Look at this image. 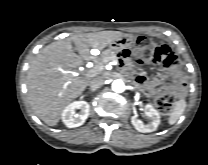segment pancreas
I'll list each match as a JSON object with an SVG mask.
<instances>
[{"instance_id": "obj_1", "label": "pancreas", "mask_w": 208, "mask_h": 165, "mask_svg": "<svg viewBox=\"0 0 208 165\" xmlns=\"http://www.w3.org/2000/svg\"><path fill=\"white\" fill-rule=\"evenodd\" d=\"M117 60H118V57L116 56L115 52L110 49H107L102 52L101 56L97 60V65H98L97 69H99V72H100L106 63L110 61H117Z\"/></svg>"}]
</instances>
